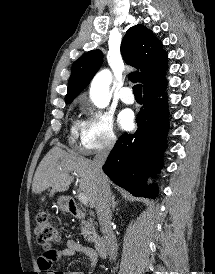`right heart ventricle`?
<instances>
[{
  "mask_svg": "<svg viewBox=\"0 0 215 274\" xmlns=\"http://www.w3.org/2000/svg\"><path fill=\"white\" fill-rule=\"evenodd\" d=\"M78 128H81V124L80 123H75L72 127V133H76Z\"/></svg>",
  "mask_w": 215,
  "mask_h": 274,
  "instance_id": "right-heart-ventricle-1",
  "label": "right heart ventricle"
}]
</instances>
